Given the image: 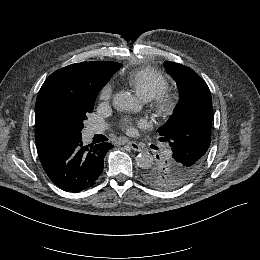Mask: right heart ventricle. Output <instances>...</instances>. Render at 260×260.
Returning <instances> with one entry per match:
<instances>
[{"instance_id": "obj_1", "label": "right heart ventricle", "mask_w": 260, "mask_h": 260, "mask_svg": "<svg viewBox=\"0 0 260 260\" xmlns=\"http://www.w3.org/2000/svg\"><path fill=\"white\" fill-rule=\"evenodd\" d=\"M128 84L144 100H151L168 88L164 76L149 69H140L128 76Z\"/></svg>"}]
</instances>
